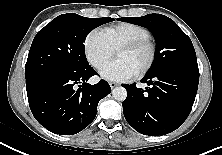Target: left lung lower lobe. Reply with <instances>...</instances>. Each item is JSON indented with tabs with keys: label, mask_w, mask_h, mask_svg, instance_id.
Returning a JSON list of instances; mask_svg holds the SVG:
<instances>
[{
	"label": "left lung lower lobe",
	"mask_w": 222,
	"mask_h": 155,
	"mask_svg": "<svg viewBox=\"0 0 222 155\" xmlns=\"http://www.w3.org/2000/svg\"><path fill=\"white\" fill-rule=\"evenodd\" d=\"M142 81L149 87L124 84L126 121L144 135H165L176 130L188 117L197 93L199 71L172 67L149 72Z\"/></svg>",
	"instance_id": "1"
}]
</instances>
